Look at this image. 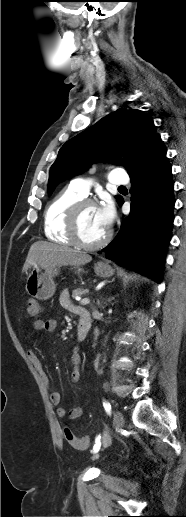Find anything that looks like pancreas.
<instances>
[{
  "mask_svg": "<svg viewBox=\"0 0 186 517\" xmlns=\"http://www.w3.org/2000/svg\"><path fill=\"white\" fill-rule=\"evenodd\" d=\"M86 293H88L87 289L77 288L72 291V297L75 298L77 296L85 295Z\"/></svg>",
  "mask_w": 186,
  "mask_h": 517,
  "instance_id": "obj_1",
  "label": "pancreas"
}]
</instances>
